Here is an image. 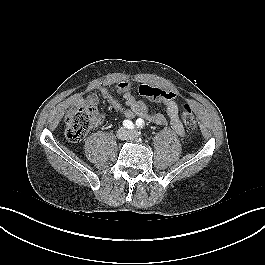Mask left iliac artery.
<instances>
[{
	"instance_id": "left-iliac-artery-1",
	"label": "left iliac artery",
	"mask_w": 265,
	"mask_h": 265,
	"mask_svg": "<svg viewBox=\"0 0 265 265\" xmlns=\"http://www.w3.org/2000/svg\"><path fill=\"white\" fill-rule=\"evenodd\" d=\"M136 125H137V128H140V129L143 128L145 126L144 120L138 119L136 121Z\"/></svg>"
}]
</instances>
